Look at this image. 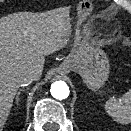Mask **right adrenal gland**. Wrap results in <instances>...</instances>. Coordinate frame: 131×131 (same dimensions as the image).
<instances>
[{
    "label": "right adrenal gland",
    "instance_id": "right-adrenal-gland-1",
    "mask_svg": "<svg viewBox=\"0 0 131 131\" xmlns=\"http://www.w3.org/2000/svg\"><path fill=\"white\" fill-rule=\"evenodd\" d=\"M21 91L22 90H19L18 92H17V94H16V104L18 105V103H19V95L21 94Z\"/></svg>",
    "mask_w": 131,
    "mask_h": 131
}]
</instances>
